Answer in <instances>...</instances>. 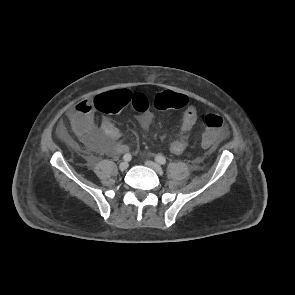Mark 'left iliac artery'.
Returning <instances> with one entry per match:
<instances>
[{
    "mask_svg": "<svg viewBox=\"0 0 295 295\" xmlns=\"http://www.w3.org/2000/svg\"><path fill=\"white\" fill-rule=\"evenodd\" d=\"M155 160H156L158 163L162 164V165L166 164V159H165V157L162 156V155H157V156L155 157Z\"/></svg>",
    "mask_w": 295,
    "mask_h": 295,
    "instance_id": "left-iliac-artery-1",
    "label": "left iliac artery"
}]
</instances>
